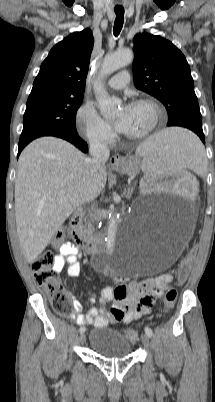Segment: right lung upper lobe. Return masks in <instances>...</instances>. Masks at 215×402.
Masks as SVG:
<instances>
[{
  "label": "right lung upper lobe",
  "mask_w": 215,
  "mask_h": 402,
  "mask_svg": "<svg viewBox=\"0 0 215 402\" xmlns=\"http://www.w3.org/2000/svg\"><path fill=\"white\" fill-rule=\"evenodd\" d=\"M93 44L90 29L72 33L56 44L41 64L29 96L41 93L83 96Z\"/></svg>",
  "instance_id": "right-lung-upper-lobe-1"
}]
</instances>
